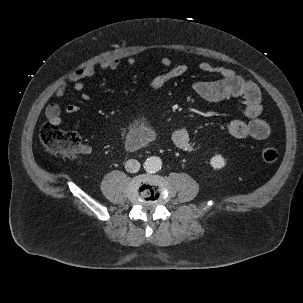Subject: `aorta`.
Returning <instances> with one entry per match:
<instances>
[{"mask_svg": "<svg viewBox=\"0 0 303 303\" xmlns=\"http://www.w3.org/2000/svg\"><path fill=\"white\" fill-rule=\"evenodd\" d=\"M162 161L157 156H151L144 162V168L147 172H157L161 169Z\"/></svg>", "mask_w": 303, "mask_h": 303, "instance_id": "aorta-1", "label": "aorta"}]
</instances>
